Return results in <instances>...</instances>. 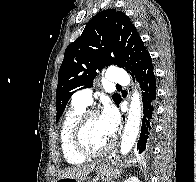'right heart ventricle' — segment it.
Here are the masks:
<instances>
[{
  "label": "right heart ventricle",
  "instance_id": "obj_1",
  "mask_svg": "<svg viewBox=\"0 0 196 182\" xmlns=\"http://www.w3.org/2000/svg\"><path fill=\"white\" fill-rule=\"evenodd\" d=\"M84 105L72 102L71 107L67 110L60 125L59 139L60 146L65 160L72 165H80L85 162L86 158L74 151L71 145V131L73 125L80 114L85 110Z\"/></svg>",
  "mask_w": 196,
  "mask_h": 182
}]
</instances>
